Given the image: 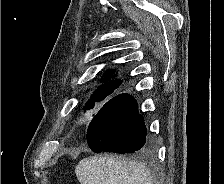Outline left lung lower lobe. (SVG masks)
<instances>
[{
  "instance_id": "left-lung-lower-lobe-1",
  "label": "left lung lower lobe",
  "mask_w": 224,
  "mask_h": 184,
  "mask_svg": "<svg viewBox=\"0 0 224 184\" xmlns=\"http://www.w3.org/2000/svg\"><path fill=\"white\" fill-rule=\"evenodd\" d=\"M146 135L137 102L124 93L106 102L93 117L87 130V143L95 153H135L153 149Z\"/></svg>"
}]
</instances>
